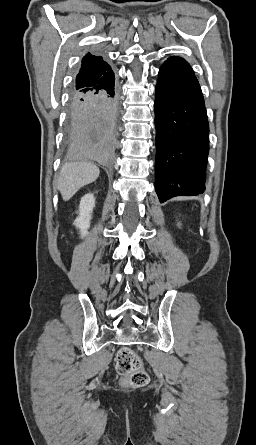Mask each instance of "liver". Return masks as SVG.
I'll use <instances>...</instances> for the list:
<instances>
[{
  "label": "liver",
  "mask_w": 256,
  "mask_h": 445,
  "mask_svg": "<svg viewBox=\"0 0 256 445\" xmlns=\"http://www.w3.org/2000/svg\"><path fill=\"white\" fill-rule=\"evenodd\" d=\"M100 174L93 163H66L60 171L57 189L63 200L68 201L80 188L94 182Z\"/></svg>",
  "instance_id": "liver-1"
}]
</instances>
